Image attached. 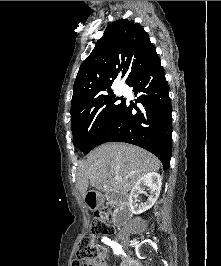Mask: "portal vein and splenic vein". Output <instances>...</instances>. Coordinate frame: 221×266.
Returning a JSON list of instances; mask_svg holds the SVG:
<instances>
[{
	"instance_id": "portal-vein-and-splenic-vein-1",
	"label": "portal vein and splenic vein",
	"mask_w": 221,
	"mask_h": 266,
	"mask_svg": "<svg viewBox=\"0 0 221 266\" xmlns=\"http://www.w3.org/2000/svg\"><path fill=\"white\" fill-rule=\"evenodd\" d=\"M114 179H115L116 181H121V180H122V178H121L119 175H115V176H114Z\"/></svg>"
}]
</instances>
